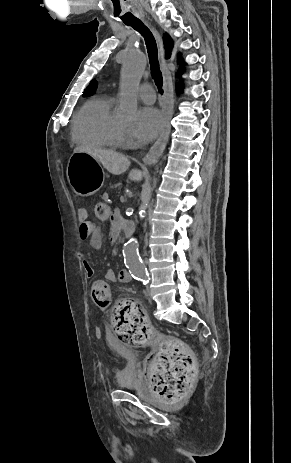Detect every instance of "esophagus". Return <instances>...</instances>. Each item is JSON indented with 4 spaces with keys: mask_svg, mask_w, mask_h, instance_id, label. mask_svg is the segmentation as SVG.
Here are the masks:
<instances>
[{
    "mask_svg": "<svg viewBox=\"0 0 291 463\" xmlns=\"http://www.w3.org/2000/svg\"><path fill=\"white\" fill-rule=\"evenodd\" d=\"M154 34L158 40L160 49H162V41L159 36V33L153 29ZM165 96H164V106H163V121H164V128L161 132L159 138L156 142L152 145L148 153L143 157L142 161L146 165H150L155 163L159 157L162 155L166 144L168 142L169 134H170V115H169V95L167 88L165 87Z\"/></svg>",
    "mask_w": 291,
    "mask_h": 463,
    "instance_id": "34e87169",
    "label": "esophagus"
}]
</instances>
